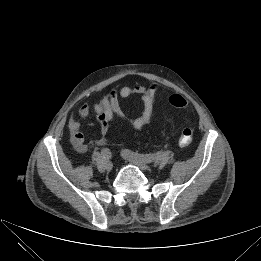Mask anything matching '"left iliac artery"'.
Listing matches in <instances>:
<instances>
[{"label":"left iliac artery","mask_w":261,"mask_h":261,"mask_svg":"<svg viewBox=\"0 0 261 261\" xmlns=\"http://www.w3.org/2000/svg\"><path fill=\"white\" fill-rule=\"evenodd\" d=\"M124 153L131 158L140 159L146 163L152 162L155 158L153 154H139L131 150H124Z\"/></svg>","instance_id":"1"}]
</instances>
